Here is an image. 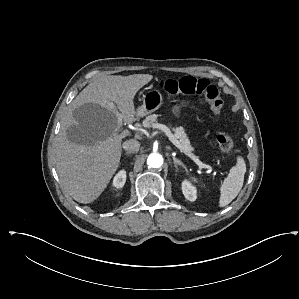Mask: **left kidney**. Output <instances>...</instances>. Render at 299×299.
I'll return each mask as SVG.
<instances>
[{"instance_id": "obj_1", "label": "left kidney", "mask_w": 299, "mask_h": 299, "mask_svg": "<svg viewBox=\"0 0 299 299\" xmlns=\"http://www.w3.org/2000/svg\"><path fill=\"white\" fill-rule=\"evenodd\" d=\"M182 192L185 198L191 202H194L197 198L196 188L187 180L182 182Z\"/></svg>"}]
</instances>
